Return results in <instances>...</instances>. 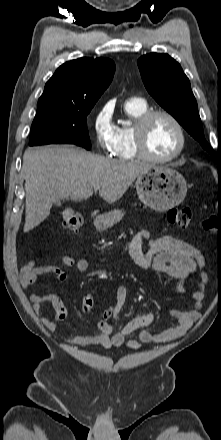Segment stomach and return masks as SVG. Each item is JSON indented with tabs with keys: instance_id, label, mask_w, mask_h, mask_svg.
<instances>
[{
	"instance_id": "obj_1",
	"label": "stomach",
	"mask_w": 221,
	"mask_h": 440,
	"mask_svg": "<svg viewBox=\"0 0 221 440\" xmlns=\"http://www.w3.org/2000/svg\"><path fill=\"white\" fill-rule=\"evenodd\" d=\"M139 199L156 211H166L179 205L187 193L185 178L176 170L167 166H153L136 180ZM124 212L115 209L98 216L95 227L106 230L119 222Z\"/></svg>"
}]
</instances>
